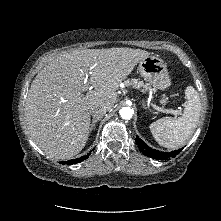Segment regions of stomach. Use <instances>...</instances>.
<instances>
[{
  "instance_id": "obj_1",
  "label": "stomach",
  "mask_w": 221,
  "mask_h": 221,
  "mask_svg": "<svg viewBox=\"0 0 221 221\" xmlns=\"http://www.w3.org/2000/svg\"><path fill=\"white\" fill-rule=\"evenodd\" d=\"M141 76L154 88L164 90L171 85L169 72L164 61L157 56H147L139 62Z\"/></svg>"
}]
</instances>
